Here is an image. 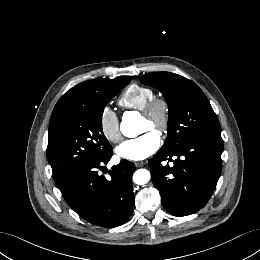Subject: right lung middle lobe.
Returning a JSON list of instances; mask_svg holds the SVG:
<instances>
[{
  "mask_svg": "<svg viewBox=\"0 0 260 260\" xmlns=\"http://www.w3.org/2000/svg\"><path fill=\"white\" fill-rule=\"evenodd\" d=\"M129 81L103 86L83 103L50 122L47 158L53 177L60 176L76 164L96 161L112 152V146L102 131V115L107 103Z\"/></svg>",
  "mask_w": 260,
  "mask_h": 260,
  "instance_id": "right-lung-middle-lobe-1",
  "label": "right lung middle lobe"
}]
</instances>
